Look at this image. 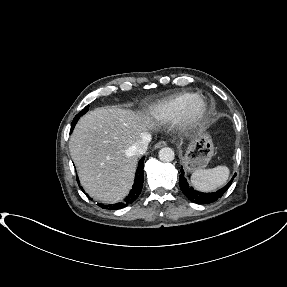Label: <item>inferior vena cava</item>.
<instances>
[{"label":"inferior vena cava","instance_id":"602c4592","mask_svg":"<svg viewBox=\"0 0 287 287\" xmlns=\"http://www.w3.org/2000/svg\"><path fill=\"white\" fill-rule=\"evenodd\" d=\"M151 141V136L149 134L144 135L140 140H138L131 148L130 151L136 156L143 155L147 148L148 144Z\"/></svg>","mask_w":287,"mask_h":287}]
</instances>
